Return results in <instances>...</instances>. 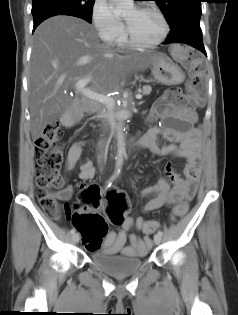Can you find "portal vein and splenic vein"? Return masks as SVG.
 I'll list each match as a JSON object with an SVG mask.
<instances>
[{
	"label": "portal vein and splenic vein",
	"mask_w": 238,
	"mask_h": 315,
	"mask_svg": "<svg viewBox=\"0 0 238 315\" xmlns=\"http://www.w3.org/2000/svg\"><path fill=\"white\" fill-rule=\"evenodd\" d=\"M90 80H91V77H87L85 79L79 80L75 84L77 91H79L82 95H84L85 97H87L89 99H93V100H97V101H104L106 103V105H111L114 102L113 98L108 97V96L103 95V94L96 93V92H94V91H92L86 87V85L90 82ZM141 98H142L141 94L136 95V99H141Z\"/></svg>",
	"instance_id": "obj_1"
}]
</instances>
